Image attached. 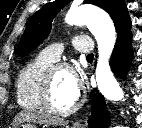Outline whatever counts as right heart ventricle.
I'll return each instance as SVG.
<instances>
[{
	"label": "right heart ventricle",
	"instance_id": "right-heart-ventricle-1",
	"mask_svg": "<svg viewBox=\"0 0 142 128\" xmlns=\"http://www.w3.org/2000/svg\"><path fill=\"white\" fill-rule=\"evenodd\" d=\"M54 61L41 53L27 63L16 79V95L18 104L28 110H43L41 92L46 70Z\"/></svg>",
	"mask_w": 142,
	"mask_h": 128
}]
</instances>
